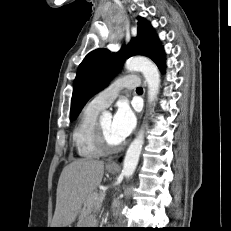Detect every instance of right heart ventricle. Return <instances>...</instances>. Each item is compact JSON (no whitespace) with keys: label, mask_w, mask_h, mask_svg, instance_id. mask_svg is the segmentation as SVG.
Returning <instances> with one entry per match:
<instances>
[{"label":"right heart ventricle","mask_w":231,"mask_h":231,"mask_svg":"<svg viewBox=\"0 0 231 231\" xmlns=\"http://www.w3.org/2000/svg\"><path fill=\"white\" fill-rule=\"evenodd\" d=\"M100 111L88 104L73 130V144L81 158L95 159L103 155L95 141V126Z\"/></svg>","instance_id":"obj_1"}]
</instances>
